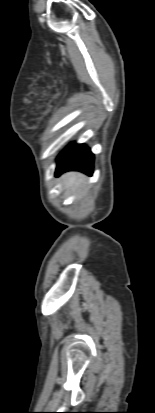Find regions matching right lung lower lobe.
<instances>
[{"mask_svg":"<svg viewBox=\"0 0 155 413\" xmlns=\"http://www.w3.org/2000/svg\"><path fill=\"white\" fill-rule=\"evenodd\" d=\"M94 155L85 145L70 144L57 158L56 175L75 170L88 175L93 173Z\"/></svg>","mask_w":155,"mask_h":413,"instance_id":"right-lung-lower-lobe-1","label":"right lung lower lobe"}]
</instances>
